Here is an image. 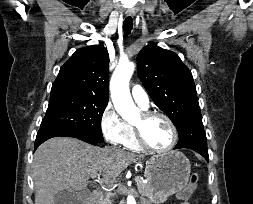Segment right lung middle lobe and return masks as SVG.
Instances as JSON below:
<instances>
[{"label": "right lung middle lobe", "instance_id": "1", "mask_svg": "<svg viewBox=\"0 0 253 204\" xmlns=\"http://www.w3.org/2000/svg\"><path fill=\"white\" fill-rule=\"evenodd\" d=\"M107 103L76 89L52 88L40 128L74 132L101 143V118Z\"/></svg>", "mask_w": 253, "mask_h": 204}]
</instances>
